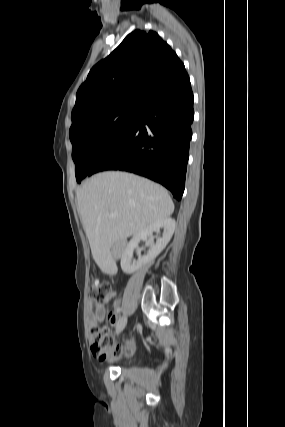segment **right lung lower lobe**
<instances>
[{"mask_svg": "<svg viewBox=\"0 0 285 427\" xmlns=\"http://www.w3.org/2000/svg\"><path fill=\"white\" fill-rule=\"evenodd\" d=\"M193 101L186 70L154 89L131 130L88 175L104 170L132 172L162 184L181 200L192 137Z\"/></svg>", "mask_w": 285, "mask_h": 427, "instance_id": "98d812e1", "label": "right lung lower lobe"}]
</instances>
